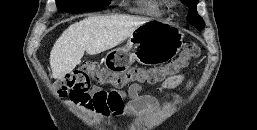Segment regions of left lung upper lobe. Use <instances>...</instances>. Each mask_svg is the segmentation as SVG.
I'll return each mask as SVG.
<instances>
[{"mask_svg": "<svg viewBox=\"0 0 257 130\" xmlns=\"http://www.w3.org/2000/svg\"><path fill=\"white\" fill-rule=\"evenodd\" d=\"M183 2L189 7L190 12L187 16L189 23L194 25L198 30H202L205 26L203 19L197 14L196 7L198 0H183Z\"/></svg>", "mask_w": 257, "mask_h": 130, "instance_id": "5c2ea615", "label": "left lung upper lobe"}]
</instances>
